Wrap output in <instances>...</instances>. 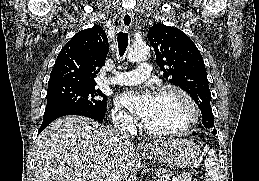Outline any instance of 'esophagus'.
I'll return each instance as SVG.
<instances>
[{
    "label": "esophagus",
    "instance_id": "1",
    "mask_svg": "<svg viewBox=\"0 0 259 181\" xmlns=\"http://www.w3.org/2000/svg\"><path fill=\"white\" fill-rule=\"evenodd\" d=\"M121 22H122V26L125 29L130 28L133 22L132 15L130 13H124L122 16ZM138 148L142 150L145 148V146L143 144H139Z\"/></svg>",
    "mask_w": 259,
    "mask_h": 181
}]
</instances>
